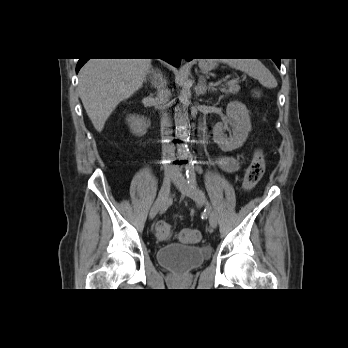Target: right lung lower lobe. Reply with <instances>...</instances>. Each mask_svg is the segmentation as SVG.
<instances>
[{"mask_svg":"<svg viewBox=\"0 0 348 348\" xmlns=\"http://www.w3.org/2000/svg\"><path fill=\"white\" fill-rule=\"evenodd\" d=\"M88 59H79L77 66H76V73L80 70V68L87 62ZM167 61L168 63L178 67L180 65L181 59L180 58H173V59H163Z\"/></svg>","mask_w":348,"mask_h":348,"instance_id":"obj_1","label":"right lung lower lobe"}]
</instances>
